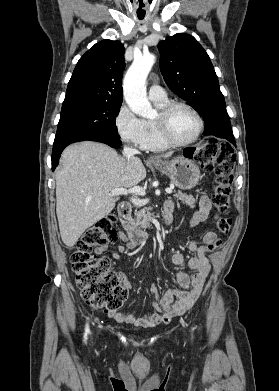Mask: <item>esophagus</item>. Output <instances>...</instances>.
Returning a JSON list of instances; mask_svg holds the SVG:
<instances>
[{"mask_svg": "<svg viewBox=\"0 0 279 391\" xmlns=\"http://www.w3.org/2000/svg\"><path fill=\"white\" fill-rule=\"evenodd\" d=\"M157 159L155 157H149V161H156Z\"/></svg>", "mask_w": 279, "mask_h": 391, "instance_id": "1", "label": "esophagus"}]
</instances>
